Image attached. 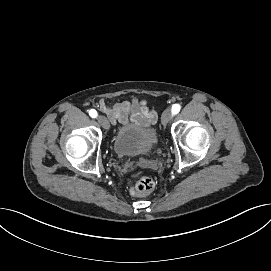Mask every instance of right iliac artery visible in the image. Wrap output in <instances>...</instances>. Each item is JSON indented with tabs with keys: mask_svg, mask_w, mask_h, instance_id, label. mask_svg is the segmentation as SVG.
Wrapping results in <instances>:
<instances>
[{
	"mask_svg": "<svg viewBox=\"0 0 271 271\" xmlns=\"http://www.w3.org/2000/svg\"><path fill=\"white\" fill-rule=\"evenodd\" d=\"M89 115L92 117V118H96L97 117V111L94 110V109H91L89 111Z\"/></svg>",
	"mask_w": 271,
	"mask_h": 271,
	"instance_id": "obj_1",
	"label": "right iliac artery"
}]
</instances>
